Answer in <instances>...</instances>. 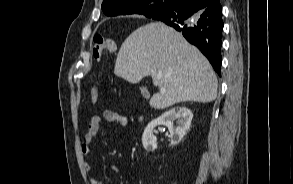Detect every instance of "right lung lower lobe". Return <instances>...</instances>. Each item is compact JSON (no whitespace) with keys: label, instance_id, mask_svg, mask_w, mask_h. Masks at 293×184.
Listing matches in <instances>:
<instances>
[{"label":"right lung lower lobe","instance_id":"right-lung-lower-lobe-1","mask_svg":"<svg viewBox=\"0 0 293 184\" xmlns=\"http://www.w3.org/2000/svg\"><path fill=\"white\" fill-rule=\"evenodd\" d=\"M153 19L161 20L181 32L208 58L221 76V37L223 30L222 6L217 1L204 7L199 0H176Z\"/></svg>","mask_w":293,"mask_h":184}]
</instances>
